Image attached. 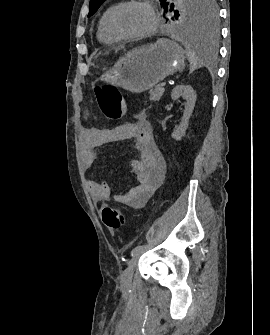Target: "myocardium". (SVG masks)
Returning <instances> with one entry per match:
<instances>
[{
    "mask_svg": "<svg viewBox=\"0 0 270 335\" xmlns=\"http://www.w3.org/2000/svg\"><path fill=\"white\" fill-rule=\"evenodd\" d=\"M131 4H137L140 5L151 17L152 19V25L151 27L144 33L140 34H129L121 31L120 29L117 28L115 24V18L117 14L126 6V5H131ZM158 16L155 13V11L149 7L148 5L138 2L135 0L127 1V2H121L119 3L109 14L108 19H107V27L109 32L114 35L117 38L120 39H125V40H141L143 38H146L150 36L157 28L158 26ZM140 50H134L132 52H139Z\"/></svg>",
    "mask_w": 270,
    "mask_h": 335,
    "instance_id": "1",
    "label": "myocardium"
}]
</instances>
